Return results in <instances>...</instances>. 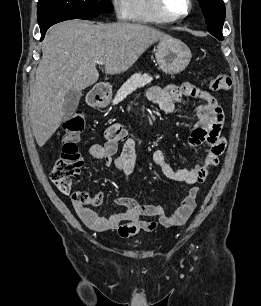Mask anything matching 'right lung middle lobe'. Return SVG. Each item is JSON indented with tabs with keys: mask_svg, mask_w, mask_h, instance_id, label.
<instances>
[{
	"mask_svg": "<svg viewBox=\"0 0 261 306\" xmlns=\"http://www.w3.org/2000/svg\"><path fill=\"white\" fill-rule=\"evenodd\" d=\"M38 10L71 12L76 14H103L112 12L110 0H39Z\"/></svg>",
	"mask_w": 261,
	"mask_h": 306,
	"instance_id": "right-lung-middle-lobe-1",
	"label": "right lung middle lobe"
}]
</instances>
